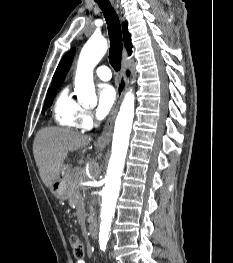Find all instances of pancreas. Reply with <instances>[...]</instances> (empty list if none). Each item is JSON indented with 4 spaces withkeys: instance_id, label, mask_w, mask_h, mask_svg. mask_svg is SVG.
<instances>
[{
    "instance_id": "pancreas-1",
    "label": "pancreas",
    "mask_w": 233,
    "mask_h": 263,
    "mask_svg": "<svg viewBox=\"0 0 233 263\" xmlns=\"http://www.w3.org/2000/svg\"><path fill=\"white\" fill-rule=\"evenodd\" d=\"M81 181V175L77 171L73 176H69V192L67 198L69 200L70 205H74L77 207L83 205L84 199L82 197V194L80 193L81 188L77 185Z\"/></svg>"
}]
</instances>
